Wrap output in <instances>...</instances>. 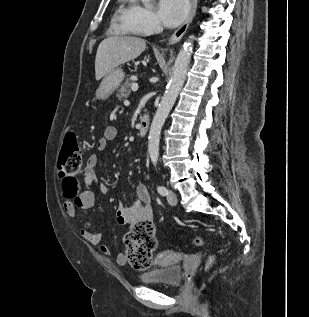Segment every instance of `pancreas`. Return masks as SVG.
I'll list each match as a JSON object with an SVG mask.
<instances>
[{"mask_svg":"<svg viewBox=\"0 0 309 317\" xmlns=\"http://www.w3.org/2000/svg\"><path fill=\"white\" fill-rule=\"evenodd\" d=\"M133 84V80L126 79V81L121 85L120 89L118 90L117 97L119 99L127 98L130 95V87Z\"/></svg>","mask_w":309,"mask_h":317,"instance_id":"1","label":"pancreas"}]
</instances>
